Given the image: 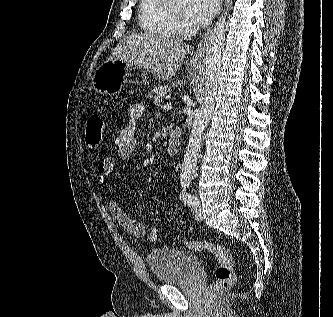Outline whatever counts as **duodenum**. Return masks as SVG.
Listing matches in <instances>:
<instances>
[{"mask_svg":"<svg viewBox=\"0 0 333 317\" xmlns=\"http://www.w3.org/2000/svg\"><path fill=\"white\" fill-rule=\"evenodd\" d=\"M181 136L182 133L180 128L175 127L171 130L166 146L167 154L170 157H174L178 154L181 145Z\"/></svg>","mask_w":333,"mask_h":317,"instance_id":"duodenum-1","label":"duodenum"}]
</instances>
